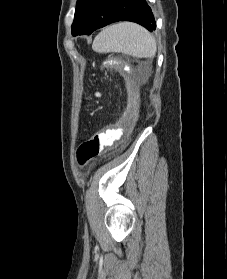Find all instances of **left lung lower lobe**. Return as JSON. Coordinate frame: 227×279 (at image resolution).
Instances as JSON below:
<instances>
[{
  "label": "left lung lower lobe",
  "instance_id": "left-lung-lower-lobe-1",
  "mask_svg": "<svg viewBox=\"0 0 227 279\" xmlns=\"http://www.w3.org/2000/svg\"><path fill=\"white\" fill-rule=\"evenodd\" d=\"M117 21L136 22L149 31L156 28L154 16L145 0H93L81 29L73 36L90 35L96 29Z\"/></svg>",
  "mask_w": 227,
  "mask_h": 279
}]
</instances>
